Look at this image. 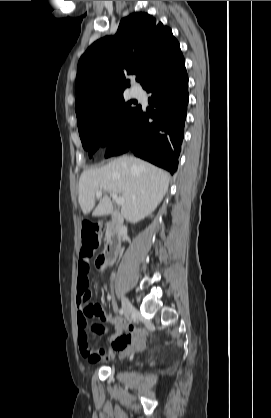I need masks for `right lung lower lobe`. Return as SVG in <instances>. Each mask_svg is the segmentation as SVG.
<instances>
[{
    "label": "right lung lower lobe",
    "instance_id": "98d812e1",
    "mask_svg": "<svg viewBox=\"0 0 271 418\" xmlns=\"http://www.w3.org/2000/svg\"><path fill=\"white\" fill-rule=\"evenodd\" d=\"M154 112L141 106L108 140L106 157L132 151L173 174L184 136L188 104V76L183 60L146 89ZM152 119V120H151Z\"/></svg>",
    "mask_w": 271,
    "mask_h": 418
}]
</instances>
